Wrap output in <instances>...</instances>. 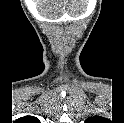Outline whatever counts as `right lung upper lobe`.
<instances>
[{
    "instance_id": "obj_1",
    "label": "right lung upper lobe",
    "mask_w": 124,
    "mask_h": 123,
    "mask_svg": "<svg viewBox=\"0 0 124 123\" xmlns=\"http://www.w3.org/2000/svg\"><path fill=\"white\" fill-rule=\"evenodd\" d=\"M24 121H30V122H38V120L35 117L32 116H26L22 118Z\"/></svg>"
}]
</instances>
